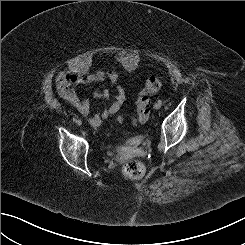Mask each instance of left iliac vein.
<instances>
[{"mask_svg": "<svg viewBox=\"0 0 245 245\" xmlns=\"http://www.w3.org/2000/svg\"><path fill=\"white\" fill-rule=\"evenodd\" d=\"M154 108L155 109H160L161 108V105H159L158 103H155Z\"/></svg>", "mask_w": 245, "mask_h": 245, "instance_id": "1", "label": "left iliac vein"}]
</instances>
